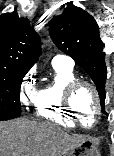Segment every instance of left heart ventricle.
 <instances>
[{"instance_id":"left-heart-ventricle-1","label":"left heart ventricle","mask_w":114,"mask_h":156,"mask_svg":"<svg viewBox=\"0 0 114 156\" xmlns=\"http://www.w3.org/2000/svg\"><path fill=\"white\" fill-rule=\"evenodd\" d=\"M74 107L85 125L93 124L96 105L94 96L88 88L82 87L77 91L74 97Z\"/></svg>"}]
</instances>
